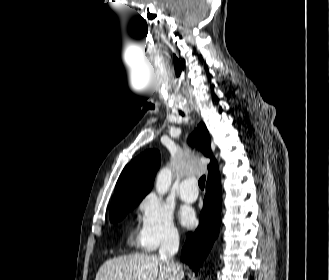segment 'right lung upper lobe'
Returning a JSON list of instances; mask_svg holds the SVG:
<instances>
[{
    "label": "right lung upper lobe",
    "instance_id": "right-lung-upper-lobe-1",
    "mask_svg": "<svg viewBox=\"0 0 329 280\" xmlns=\"http://www.w3.org/2000/svg\"><path fill=\"white\" fill-rule=\"evenodd\" d=\"M189 143L197 145L207 157H211L209 132L200 123L196 131L190 136ZM160 165L158 150H147L132 160L123 169L111 201V208L125 200L143 199L150 192L152 182ZM218 172V164L214 158L208 165V178Z\"/></svg>",
    "mask_w": 329,
    "mask_h": 280
}]
</instances>
